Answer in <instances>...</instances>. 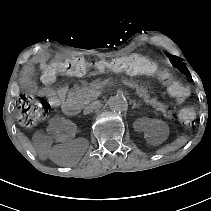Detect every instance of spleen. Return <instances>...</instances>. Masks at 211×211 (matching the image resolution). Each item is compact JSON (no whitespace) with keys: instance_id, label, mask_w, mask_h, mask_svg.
<instances>
[{"instance_id":"obj_1","label":"spleen","mask_w":211,"mask_h":211,"mask_svg":"<svg viewBox=\"0 0 211 211\" xmlns=\"http://www.w3.org/2000/svg\"><path fill=\"white\" fill-rule=\"evenodd\" d=\"M188 139L186 136H180L173 143L166 145L165 147L157 150V154H167L171 151H175L176 149L182 147L187 143Z\"/></svg>"}]
</instances>
